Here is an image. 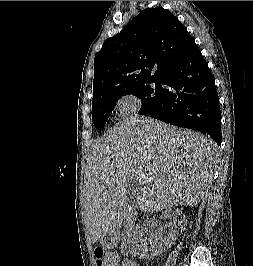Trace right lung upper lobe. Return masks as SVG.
I'll return each mask as SVG.
<instances>
[{
    "mask_svg": "<svg viewBox=\"0 0 253 266\" xmlns=\"http://www.w3.org/2000/svg\"><path fill=\"white\" fill-rule=\"evenodd\" d=\"M197 50L192 36L171 12L143 10L96 54L92 103L161 80Z\"/></svg>",
    "mask_w": 253,
    "mask_h": 266,
    "instance_id": "1",
    "label": "right lung upper lobe"
}]
</instances>
